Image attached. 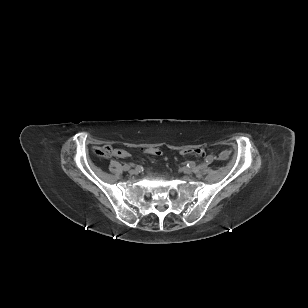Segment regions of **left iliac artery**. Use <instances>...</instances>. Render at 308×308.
<instances>
[{
	"mask_svg": "<svg viewBox=\"0 0 308 308\" xmlns=\"http://www.w3.org/2000/svg\"><path fill=\"white\" fill-rule=\"evenodd\" d=\"M205 159H206V161H207V162H209V163H210V162H212V161H213V159H214V158H213V156H212V155H210V154H209V155H207V156H206V158H205Z\"/></svg>",
	"mask_w": 308,
	"mask_h": 308,
	"instance_id": "1",
	"label": "left iliac artery"
}]
</instances>
